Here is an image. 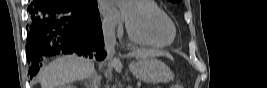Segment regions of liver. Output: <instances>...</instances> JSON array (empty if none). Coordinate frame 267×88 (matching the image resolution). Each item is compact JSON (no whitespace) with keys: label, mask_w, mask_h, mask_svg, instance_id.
Here are the masks:
<instances>
[{"label":"liver","mask_w":267,"mask_h":88,"mask_svg":"<svg viewBox=\"0 0 267 88\" xmlns=\"http://www.w3.org/2000/svg\"><path fill=\"white\" fill-rule=\"evenodd\" d=\"M130 55L141 59L168 56L163 51L148 49H136ZM113 67L121 72L123 65L119 60H115ZM94 73L95 67L91 60L75 56H63L40 69L39 82L42 88H57L79 79L92 77Z\"/></svg>","instance_id":"6515ba94"}]
</instances>
